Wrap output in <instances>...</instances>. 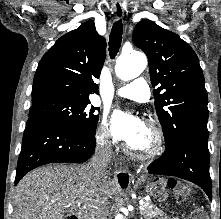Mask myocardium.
<instances>
[{"label":"myocardium","mask_w":221,"mask_h":219,"mask_svg":"<svg viewBox=\"0 0 221 219\" xmlns=\"http://www.w3.org/2000/svg\"><path fill=\"white\" fill-rule=\"evenodd\" d=\"M144 128L150 134V144L143 150H138L131 146L129 142H125L123 145L124 151L138 159H151L158 156L164 148V133L162 129L154 122L147 121L144 124Z\"/></svg>","instance_id":"obj_1"}]
</instances>
